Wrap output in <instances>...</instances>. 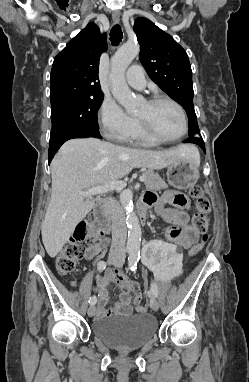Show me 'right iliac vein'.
<instances>
[{
  "mask_svg": "<svg viewBox=\"0 0 249 382\" xmlns=\"http://www.w3.org/2000/svg\"><path fill=\"white\" fill-rule=\"evenodd\" d=\"M119 261H120V257H118V256H109V258H108L109 264H116ZM95 313H96L95 305H90V307L88 308V316L93 317L95 315Z\"/></svg>",
  "mask_w": 249,
  "mask_h": 382,
  "instance_id": "63e3f726",
  "label": "right iliac vein"
}]
</instances>
